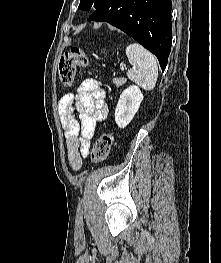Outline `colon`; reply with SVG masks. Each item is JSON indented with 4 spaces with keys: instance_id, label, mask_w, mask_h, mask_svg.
I'll return each instance as SVG.
<instances>
[{
    "instance_id": "5ec220e1",
    "label": "colon",
    "mask_w": 221,
    "mask_h": 263,
    "mask_svg": "<svg viewBox=\"0 0 221 263\" xmlns=\"http://www.w3.org/2000/svg\"><path fill=\"white\" fill-rule=\"evenodd\" d=\"M89 65V58L85 51L79 47H72L61 55L59 60V77L64 86H70L74 80L77 67H86ZM114 137L111 133L102 134L95 142L91 160L101 162L110 154Z\"/></svg>"
}]
</instances>
